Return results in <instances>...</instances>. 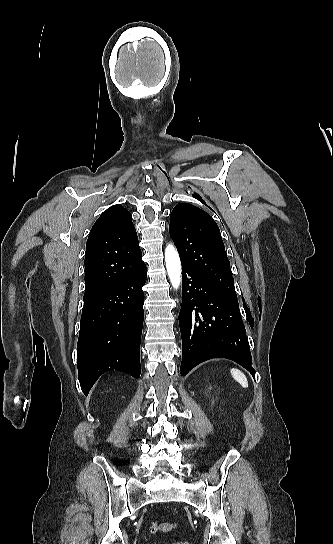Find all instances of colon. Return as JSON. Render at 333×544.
<instances>
[{
    "mask_svg": "<svg viewBox=\"0 0 333 544\" xmlns=\"http://www.w3.org/2000/svg\"><path fill=\"white\" fill-rule=\"evenodd\" d=\"M175 524L171 522H154L150 527L152 533H170L174 530Z\"/></svg>",
    "mask_w": 333,
    "mask_h": 544,
    "instance_id": "obj_1",
    "label": "colon"
}]
</instances>
